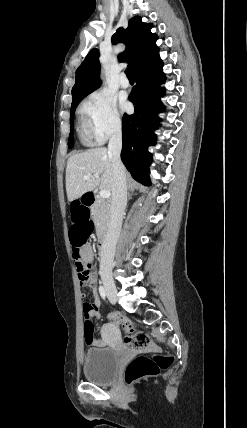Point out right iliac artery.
Here are the masks:
<instances>
[{"label": "right iliac artery", "mask_w": 247, "mask_h": 428, "mask_svg": "<svg viewBox=\"0 0 247 428\" xmlns=\"http://www.w3.org/2000/svg\"><path fill=\"white\" fill-rule=\"evenodd\" d=\"M99 293H100V296L102 297V299L105 300L106 299V292H105V289L102 285L99 286Z\"/></svg>", "instance_id": "right-iliac-artery-1"}]
</instances>
